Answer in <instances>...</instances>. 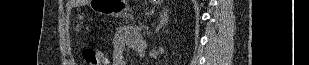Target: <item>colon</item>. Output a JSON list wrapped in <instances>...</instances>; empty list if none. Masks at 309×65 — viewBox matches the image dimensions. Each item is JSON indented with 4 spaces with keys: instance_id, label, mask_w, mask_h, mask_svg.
<instances>
[{
    "instance_id": "obj_1",
    "label": "colon",
    "mask_w": 309,
    "mask_h": 65,
    "mask_svg": "<svg viewBox=\"0 0 309 65\" xmlns=\"http://www.w3.org/2000/svg\"><path fill=\"white\" fill-rule=\"evenodd\" d=\"M82 56L88 65H104L106 58L104 55L95 48H84Z\"/></svg>"
}]
</instances>
